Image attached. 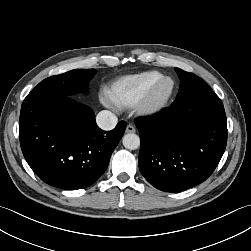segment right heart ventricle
I'll return each instance as SVG.
<instances>
[{
    "instance_id": "1",
    "label": "right heart ventricle",
    "mask_w": 251,
    "mask_h": 251,
    "mask_svg": "<svg viewBox=\"0 0 251 251\" xmlns=\"http://www.w3.org/2000/svg\"><path fill=\"white\" fill-rule=\"evenodd\" d=\"M163 76L161 72L155 70L122 76L107 88L106 98L117 108L133 107Z\"/></svg>"
}]
</instances>
